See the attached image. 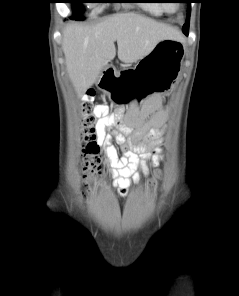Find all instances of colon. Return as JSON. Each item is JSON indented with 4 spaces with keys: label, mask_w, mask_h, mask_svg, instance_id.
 Wrapping results in <instances>:
<instances>
[{
    "label": "colon",
    "mask_w": 239,
    "mask_h": 296,
    "mask_svg": "<svg viewBox=\"0 0 239 296\" xmlns=\"http://www.w3.org/2000/svg\"><path fill=\"white\" fill-rule=\"evenodd\" d=\"M93 91L89 90L85 96V101L81 105V119L79 129L81 141L83 143L84 173L89 182V191L102 190L105 185L101 181L102 167L99 157V144L96 132V107L92 104Z\"/></svg>",
    "instance_id": "colon-1"
}]
</instances>
